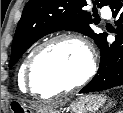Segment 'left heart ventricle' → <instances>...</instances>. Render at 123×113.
I'll use <instances>...</instances> for the list:
<instances>
[{
	"label": "left heart ventricle",
	"instance_id": "left-heart-ventricle-1",
	"mask_svg": "<svg viewBox=\"0 0 123 113\" xmlns=\"http://www.w3.org/2000/svg\"><path fill=\"white\" fill-rule=\"evenodd\" d=\"M87 67V55L80 45L73 41L57 42L45 49L34 63L35 87L46 94L70 86L84 75Z\"/></svg>",
	"mask_w": 123,
	"mask_h": 113
}]
</instances>
